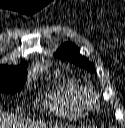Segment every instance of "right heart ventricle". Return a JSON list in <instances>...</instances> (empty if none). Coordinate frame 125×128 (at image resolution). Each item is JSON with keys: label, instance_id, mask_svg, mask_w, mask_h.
Returning <instances> with one entry per match:
<instances>
[{"label": "right heart ventricle", "instance_id": "obj_1", "mask_svg": "<svg viewBox=\"0 0 125 128\" xmlns=\"http://www.w3.org/2000/svg\"><path fill=\"white\" fill-rule=\"evenodd\" d=\"M90 91L72 79H62L55 83L51 93L42 105L54 113L76 119L90 108Z\"/></svg>", "mask_w": 125, "mask_h": 128}]
</instances>
